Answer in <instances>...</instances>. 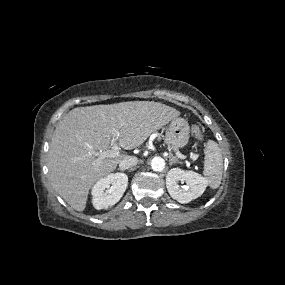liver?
Wrapping results in <instances>:
<instances>
[{
  "mask_svg": "<svg viewBox=\"0 0 285 285\" xmlns=\"http://www.w3.org/2000/svg\"><path fill=\"white\" fill-rule=\"evenodd\" d=\"M180 112L153 101H130L77 107L59 121L48 153L49 178L55 191L76 211L86 208L92 185L130 157L121 153L99 163L94 154L111 147V130L119 131V145L132 150Z\"/></svg>",
  "mask_w": 285,
  "mask_h": 285,
  "instance_id": "6515ba94",
  "label": "liver"
}]
</instances>
